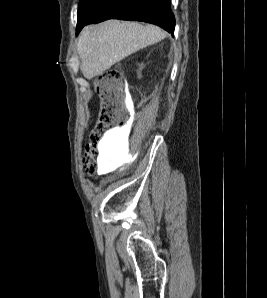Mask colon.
Returning a JSON list of instances; mask_svg holds the SVG:
<instances>
[{
	"label": "colon",
	"instance_id": "obj_1",
	"mask_svg": "<svg viewBox=\"0 0 267 298\" xmlns=\"http://www.w3.org/2000/svg\"><path fill=\"white\" fill-rule=\"evenodd\" d=\"M124 79L117 70H108L96 80V89L101 100L97 122L90 132L83 158V169L93 175L98 169V156L107 134L126 123L123 103Z\"/></svg>",
	"mask_w": 267,
	"mask_h": 298
}]
</instances>
